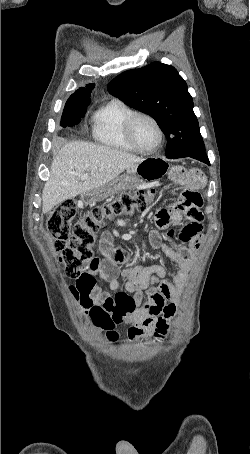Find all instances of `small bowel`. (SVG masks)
<instances>
[{
  "instance_id": "1",
  "label": "small bowel",
  "mask_w": 250,
  "mask_h": 454,
  "mask_svg": "<svg viewBox=\"0 0 250 454\" xmlns=\"http://www.w3.org/2000/svg\"><path fill=\"white\" fill-rule=\"evenodd\" d=\"M175 182L184 187L179 199L166 208H161L155 215L158 228L167 230L171 225L184 219L179 238L185 245L164 244L158 232L149 237L150 248L160 249L176 266L172 280H168L167 271L161 265L134 266L123 272L124 281L118 279V267L123 264L128 253L113 246L110 238L104 236L100 243L103 259L94 258L76 280L80 304L85 312L92 306L104 307L119 323H129L130 339L143 335L165 337L169 322L176 315L180 292L185 286L188 272L202 241L201 206L203 199L200 189L205 180L199 172H181ZM171 236V231L165 233ZM97 278L107 284L104 290L97 283ZM147 300L143 301V293Z\"/></svg>"
}]
</instances>
